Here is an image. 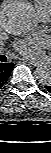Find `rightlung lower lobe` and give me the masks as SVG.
Instances as JSON below:
<instances>
[{"label": "right lung lower lobe", "instance_id": "obj_1", "mask_svg": "<svg viewBox=\"0 0 51 153\" xmlns=\"http://www.w3.org/2000/svg\"><path fill=\"white\" fill-rule=\"evenodd\" d=\"M15 64L0 62V88L7 81Z\"/></svg>", "mask_w": 51, "mask_h": 153}]
</instances>
